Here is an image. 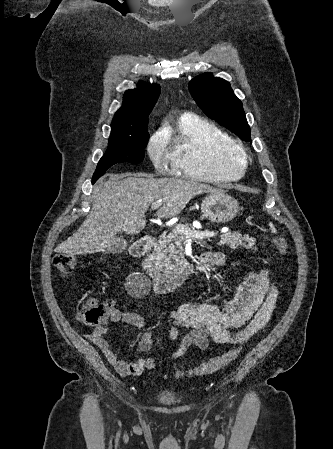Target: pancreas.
Masks as SVG:
<instances>
[{
	"mask_svg": "<svg viewBox=\"0 0 333 449\" xmlns=\"http://www.w3.org/2000/svg\"><path fill=\"white\" fill-rule=\"evenodd\" d=\"M185 227L189 228V225L186 224ZM189 239L191 238L174 229L163 240L159 241L153 256L156 259L157 265L164 273H171L172 270H175L184 261L182 245ZM255 242L256 240L254 238H249L248 235L242 236L236 231L226 232L220 236V244L232 249H237L238 247L253 249L256 248L254 246Z\"/></svg>",
	"mask_w": 333,
	"mask_h": 449,
	"instance_id": "pancreas-1",
	"label": "pancreas"
}]
</instances>
